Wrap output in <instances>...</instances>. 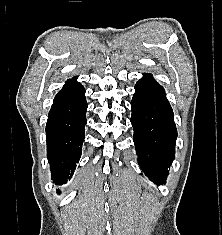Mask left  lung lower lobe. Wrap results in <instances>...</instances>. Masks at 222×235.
Wrapping results in <instances>:
<instances>
[{
	"label": "left lung lower lobe",
	"instance_id": "0a47b994",
	"mask_svg": "<svg viewBox=\"0 0 222 235\" xmlns=\"http://www.w3.org/2000/svg\"><path fill=\"white\" fill-rule=\"evenodd\" d=\"M131 108L138 164L152 182L164 184L174 159L177 130L165 91L151 74L136 83Z\"/></svg>",
	"mask_w": 222,
	"mask_h": 235
}]
</instances>
